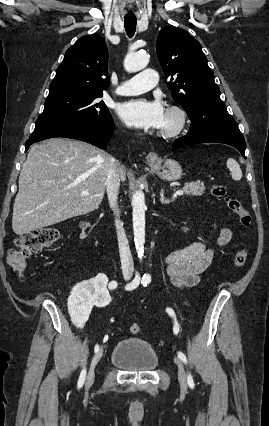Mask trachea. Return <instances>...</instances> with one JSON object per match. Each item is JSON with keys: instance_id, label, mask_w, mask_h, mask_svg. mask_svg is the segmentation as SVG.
<instances>
[{"instance_id": "trachea-1", "label": "trachea", "mask_w": 269, "mask_h": 426, "mask_svg": "<svg viewBox=\"0 0 269 426\" xmlns=\"http://www.w3.org/2000/svg\"><path fill=\"white\" fill-rule=\"evenodd\" d=\"M137 19L135 17H125L124 26L129 37H133L136 31Z\"/></svg>"}]
</instances>
